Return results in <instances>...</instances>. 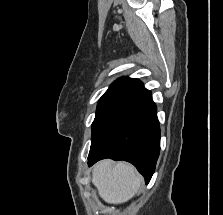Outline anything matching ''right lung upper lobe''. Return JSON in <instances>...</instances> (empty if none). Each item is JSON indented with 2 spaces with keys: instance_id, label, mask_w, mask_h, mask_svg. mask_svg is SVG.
Here are the masks:
<instances>
[{
  "instance_id": "cb5924a9",
  "label": "right lung upper lobe",
  "mask_w": 223,
  "mask_h": 215,
  "mask_svg": "<svg viewBox=\"0 0 223 215\" xmlns=\"http://www.w3.org/2000/svg\"><path fill=\"white\" fill-rule=\"evenodd\" d=\"M115 92H127L131 94L141 95L146 98L151 95V92L144 88L141 81L128 77L119 78L109 87L105 94Z\"/></svg>"
}]
</instances>
